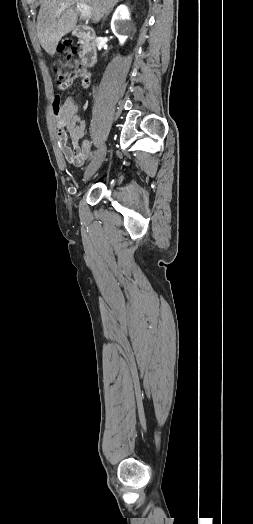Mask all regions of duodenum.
Instances as JSON below:
<instances>
[{
  "mask_svg": "<svg viewBox=\"0 0 253 524\" xmlns=\"http://www.w3.org/2000/svg\"><path fill=\"white\" fill-rule=\"evenodd\" d=\"M73 35L82 42V62L85 67H92L97 56V43L93 29L89 26H78Z\"/></svg>",
  "mask_w": 253,
  "mask_h": 524,
  "instance_id": "410a0bca",
  "label": "duodenum"
}]
</instances>
